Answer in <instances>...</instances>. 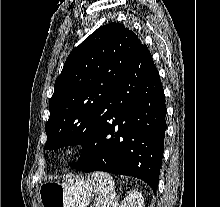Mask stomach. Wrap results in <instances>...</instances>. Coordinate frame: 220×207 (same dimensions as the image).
Wrapping results in <instances>:
<instances>
[{
  "instance_id": "0dacf381",
  "label": "stomach",
  "mask_w": 220,
  "mask_h": 207,
  "mask_svg": "<svg viewBox=\"0 0 220 207\" xmlns=\"http://www.w3.org/2000/svg\"><path fill=\"white\" fill-rule=\"evenodd\" d=\"M96 193L94 179L82 175L46 181L39 188L42 207H86Z\"/></svg>"
}]
</instances>
